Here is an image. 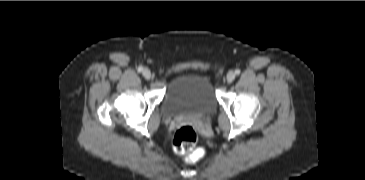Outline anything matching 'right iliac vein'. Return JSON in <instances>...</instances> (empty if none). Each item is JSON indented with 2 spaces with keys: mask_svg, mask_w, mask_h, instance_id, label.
Here are the masks:
<instances>
[{
  "mask_svg": "<svg viewBox=\"0 0 365 180\" xmlns=\"http://www.w3.org/2000/svg\"><path fill=\"white\" fill-rule=\"evenodd\" d=\"M142 74L146 79H150L152 76L151 71L148 68L143 69Z\"/></svg>",
  "mask_w": 365,
  "mask_h": 180,
  "instance_id": "1",
  "label": "right iliac vein"
}]
</instances>
